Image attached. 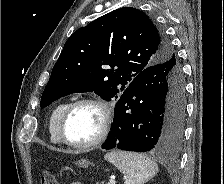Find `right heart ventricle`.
<instances>
[{
    "instance_id": "obj_1",
    "label": "right heart ventricle",
    "mask_w": 224,
    "mask_h": 184,
    "mask_svg": "<svg viewBox=\"0 0 224 184\" xmlns=\"http://www.w3.org/2000/svg\"><path fill=\"white\" fill-rule=\"evenodd\" d=\"M68 104H69L68 102H62L58 104L52 110L50 114L48 130H49L50 140L54 144L62 143L59 136L58 125H59L60 118Z\"/></svg>"
}]
</instances>
